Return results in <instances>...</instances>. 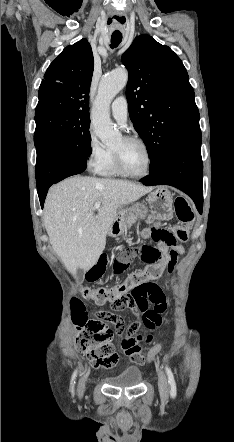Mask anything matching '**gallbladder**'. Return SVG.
Returning a JSON list of instances; mask_svg holds the SVG:
<instances>
[{"instance_id":"1","label":"gallbladder","mask_w":234,"mask_h":442,"mask_svg":"<svg viewBox=\"0 0 234 442\" xmlns=\"http://www.w3.org/2000/svg\"><path fill=\"white\" fill-rule=\"evenodd\" d=\"M83 271L81 269H77L76 276L78 280H81Z\"/></svg>"}]
</instances>
